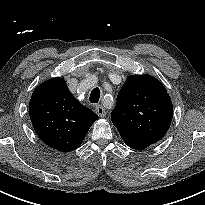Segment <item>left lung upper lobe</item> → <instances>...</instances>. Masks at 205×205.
<instances>
[{"instance_id": "obj_1", "label": "left lung upper lobe", "mask_w": 205, "mask_h": 205, "mask_svg": "<svg viewBox=\"0 0 205 205\" xmlns=\"http://www.w3.org/2000/svg\"><path fill=\"white\" fill-rule=\"evenodd\" d=\"M173 106L160 81L150 75L130 76L120 89L111 119L120 135L150 146L170 127Z\"/></svg>"}]
</instances>
